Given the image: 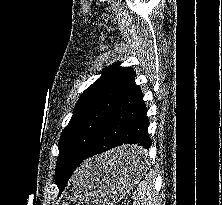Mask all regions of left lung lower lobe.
<instances>
[{
  "label": "left lung lower lobe",
  "instance_id": "1",
  "mask_svg": "<svg viewBox=\"0 0 222 205\" xmlns=\"http://www.w3.org/2000/svg\"><path fill=\"white\" fill-rule=\"evenodd\" d=\"M134 80L135 78L107 115L86 154L80 158L72 157L65 161L64 168L68 170L69 174L72 175L84 160L123 144L150 148L152 140L147 131L149 125L146 116L147 108L143 101L142 91ZM142 148L123 152L116 158L117 162L122 165L143 162L146 159V153ZM67 182L64 181L63 185L59 187L60 194Z\"/></svg>",
  "mask_w": 222,
  "mask_h": 205
}]
</instances>
